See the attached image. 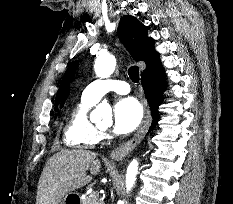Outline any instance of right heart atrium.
<instances>
[{"instance_id": "d8ad5b80", "label": "right heart atrium", "mask_w": 233, "mask_h": 204, "mask_svg": "<svg viewBox=\"0 0 233 204\" xmlns=\"http://www.w3.org/2000/svg\"><path fill=\"white\" fill-rule=\"evenodd\" d=\"M102 137H106V135H105V134H103V135H102Z\"/></svg>"}]
</instances>
